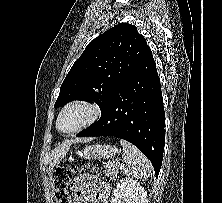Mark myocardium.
I'll return each mask as SVG.
<instances>
[{
  "label": "myocardium",
  "instance_id": "myocardium-1",
  "mask_svg": "<svg viewBox=\"0 0 222 203\" xmlns=\"http://www.w3.org/2000/svg\"><path fill=\"white\" fill-rule=\"evenodd\" d=\"M73 107H83V108L87 109L88 112H89V116L83 123H81L76 128H74L72 130H69V131H63L59 127L60 119H61L62 115L67 110H69L70 108H73ZM100 116H101V109L98 105H96L95 103H93L89 100L76 99V100L68 102L60 110V112L58 114V117H57V120H56V128L62 134L71 135V134L77 133V132L89 127L90 125L95 123L100 118Z\"/></svg>",
  "mask_w": 222,
  "mask_h": 203
}]
</instances>
